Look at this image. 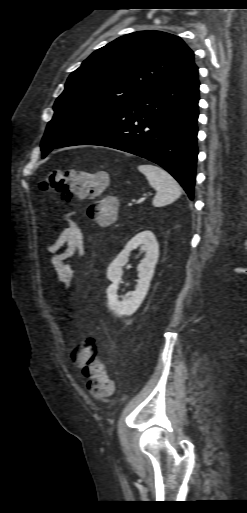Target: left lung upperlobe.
Listing matches in <instances>:
<instances>
[{"label":"left lung upper lobe","mask_w":247,"mask_h":513,"mask_svg":"<svg viewBox=\"0 0 247 513\" xmlns=\"http://www.w3.org/2000/svg\"><path fill=\"white\" fill-rule=\"evenodd\" d=\"M193 61L184 41L161 31L117 38L92 53L68 78L42 139L45 157L102 119L168 81Z\"/></svg>","instance_id":"obj_1"}]
</instances>
